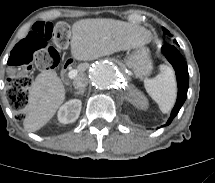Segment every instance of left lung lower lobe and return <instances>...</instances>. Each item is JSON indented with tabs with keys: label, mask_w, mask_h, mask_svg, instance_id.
<instances>
[{
	"label": "left lung lower lobe",
	"mask_w": 215,
	"mask_h": 183,
	"mask_svg": "<svg viewBox=\"0 0 215 183\" xmlns=\"http://www.w3.org/2000/svg\"><path fill=\"white\" fill-rule=\"evenodd\" d=\"M162 51L175 70L178 85L177 100L171 112V115L167 123L165 124V126H168L176 117L180 108L182 107L186 100L189 86V74L187 63L185 62L183 56L178 52V50L174 46L165 45L162 47Z\"/></svg>",
	"instance_id": "obj_1"
}]
</instances>
